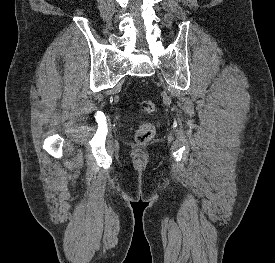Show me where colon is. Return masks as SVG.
<instances>
[{
    "label": "colon",
    "mask_w": 275,
    "mask_h": 263,
    "mask_svg": "<svg viewBox=\"0 0 275 263\" xmlns=\"http://www.w3.org/2000/svg\"><path fill=\"white\" fill-rule=\"evenodd\" d=\"M138 110L142 114H152L156 110V104L151 99H140L137 103ZM155 134V128L150 123L141 124L136 130V140L140 144L149 142Z\"/></svg>",
    "instance_id": "colon-1"
}]
</instances>
